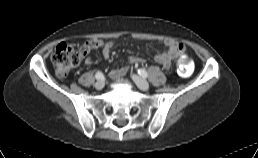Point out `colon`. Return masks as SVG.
<instances>
[{
	"label": "colon",
	"mask_w": 258,
	"mask_h": 158,
	"mask_svg": "<svg viewBox=\"0 0 258 158\" xmlns=\"http://www.w3.org/2000/svg\"><path fill=\"white\" fill-rule=\"evenodd\" d=\"M90 51L88 45L75 46L67 43H60L53 51L51 60L55 67L57 76L67 77L72 69L79 64L82 57ZM178 73L183 76H189L192 72V59L184 53L179 57L177 64Z\"/></svg>",
	"instance_id": "obj_1"
}]
</instances>
